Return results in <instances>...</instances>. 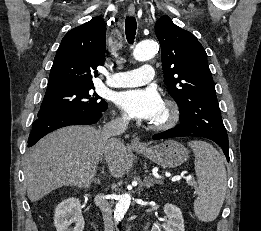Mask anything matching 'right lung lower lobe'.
Listing matches in <instances>:
<instances>
[{
	"mask_svg": "<svg viewBox=\"0 0 261 231\" xmlns=\"http://www.w3.org/2000/svg\"><path fill=\"white\" fill-rule=\"evenodd\" d=\"M107 108L101 110L69 111L46 118H38L33 123L27 146H33L46 134L64 126L94 124L102 117L103 112Z\"/></svg>",
	"mask_w": 261,
	"mask_h": 231,
	"instance_id": "98d812e1",
	"label": "right lung lower lobe"
}]
</instances>
